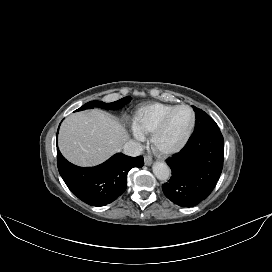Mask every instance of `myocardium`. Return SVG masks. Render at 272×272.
<instances>
[{
	"instance_id": "myocardium-1",
	"label": "myocardium",
	"mask_w": 272,
	"mask_h": 272,
	"mask_svg": "<svg viewBox=\"0 0 272 272\" xmlns=\"http://www.w3.org/2000/svg\"><path fill=\"white\" fill-rule=\"evenodd\" d=\"M187 109L191 113V122L190 125L185 132V134L180 138L178 142L173 145H164L161 142V137L167 127L168 122L170 121L171 117L176 113L178 110ZM196 123V116L194 110L188 105H178L174 107L169 113H167L164 118L161 120L157 128L153 131L151 135V144L155 152L162 154V155H169L178 152L181 150L189 141Z\"/></svg>"
}]
</instances>
